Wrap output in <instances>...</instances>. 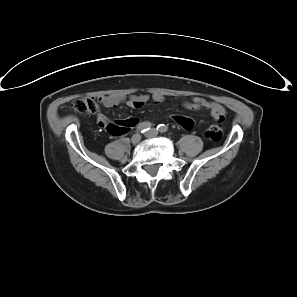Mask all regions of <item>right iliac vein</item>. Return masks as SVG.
I'll use <instances>...</instances> for the list:
<instances>
[{"label": "right iliac vein", "mask_w": 297, "mask_h": 297, "mask_svg": "<svg viewBox=\"0 0 297 297\" xmlns=\"http://www.w3.org/2000/svg\"><path fill=\"white\" fill-rule=\"evenodd\" d=\"M140 140H141V135L140 134H134L133 136H132V138H131V142L133 143V144H137V143H139L140 142Z\"/></svg>", "instance_id": "63e3f726"}]
</instances>
